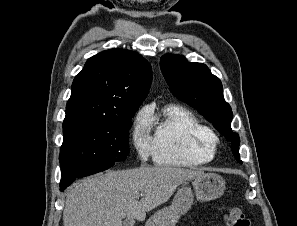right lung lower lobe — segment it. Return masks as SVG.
I'll return each instance as SVG.
<instances>
[{
	"label": "right lung lower lobe",
	"instance_id": "1",
	"mask_svg": "<svg viewBox=\"0 0 297 226\" xmlns=\"http://www.w3.org/2000/svg\"><path fill=\"white\" fill-rule=\"evenodd\" d=\"M110 167L111 166H105V167L94 166V167L82 169L80 171L70 172L61 178L60 190L64 191V189L67 188L70 184H72L76 178H81V177H85L88 175H92L97 172L106 170Z\"/></svg>",
	"mask_w": 297,
	"mask_h": 226
}]
</instances>
